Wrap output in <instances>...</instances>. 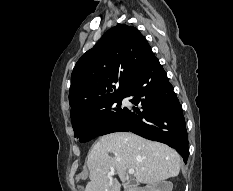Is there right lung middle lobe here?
Returning a JSON list of instances; mask_svg holds the SVG:
<instances>
[{
	"instance_id": "obj_1",
	"label": "right lung middle lobe",
	"mask_w": 233,
	"mask_h": 191,
	"mask_svg": "<svg viewBox=\"0 0 233 191\" xmlns=\"http://www.w3.org/2000/svg\"><path fill=\"white\" fill-rule=\"evenodd\" d=\"M123 98L125 96L102 103L71 117L75 137H80L81 142H86L104 135L127 111L126 107L121 106Z\"/></svg>"
}]
</instances>
